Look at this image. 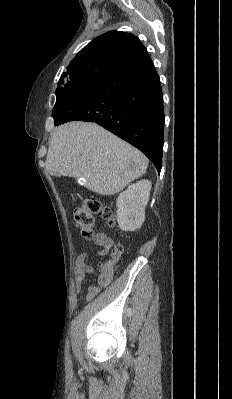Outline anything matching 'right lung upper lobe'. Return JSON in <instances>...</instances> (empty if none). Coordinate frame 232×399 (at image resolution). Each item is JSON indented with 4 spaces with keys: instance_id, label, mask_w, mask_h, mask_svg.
I'll return each mask as SVG.
<instances>
[{
    "instance_id": "obj_1",
    "label": "right lung upper lobe",
    "mask_w": 232,
    "mask_h": 399,
    "mask_svg": "<svg viewBox=\"0 0 232 399\" xmlns=\"http://www.w3.org/2000/svg\"><path fill=\"white\" fill-rule=\"evenodd\" d=\"M149 58L140 40L126 32L110 31L87 44L63 73L56 93L68 82L85 77L107 79Z\"/></svg>"
}]
</instances>
